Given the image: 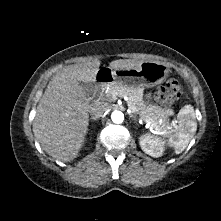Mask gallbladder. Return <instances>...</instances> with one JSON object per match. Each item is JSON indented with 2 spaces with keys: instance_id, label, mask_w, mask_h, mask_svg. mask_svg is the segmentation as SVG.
<instances>
[{
  "instance_id": "bac80fb5",
  "label": "gallbladder",
  "mask_w": 221,
  "mask_h": 221,
  "mask_svg": "<svg viewBox=\"0 0 221 221\" xmlns=\"http://www.w3.org/2000/svg\"><path fill=\"white\" fill-rule=\"evenodd\" d=\"M84 92L86 93L87 96L92 95L93 91H94V87L90 84H86V83H81Z\"/></svg>"
}]
</instances>
